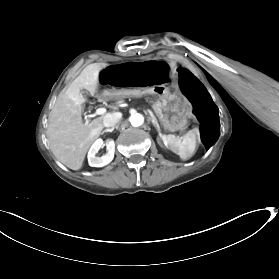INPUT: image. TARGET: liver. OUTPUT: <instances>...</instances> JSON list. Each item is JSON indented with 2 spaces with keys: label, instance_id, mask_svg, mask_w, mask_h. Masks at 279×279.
Returning a JSON list of instances; mask_svg holds the SVG:
<instances>
[{
  "label": "liver",
  "instance_id": "obj_1",
  "mask_svg": "<svg viewBox=\"0 0 279 279\" xmlns=\"http://www.w3.org/2000/svg\"><path fill=\"white\" fill-rule=\"evenodd\" d=\"M101 68L90 64L74 79L68 89L59 94L49 113L47 137L54 156L72 170H79L85 155L103 129L104 115L89 124L82 122V104L85 98L80 93L84 88L94 96Z\"/></svg>",
  "mask_w": 279,
  "mask_h": 279
}]
</instances>
